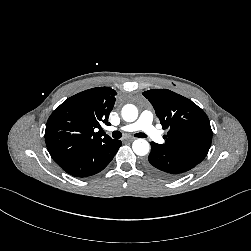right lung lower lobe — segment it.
Wrapping results in <instances>:
<instances>
[{"instance_id": "1", "label": "right lung lower lobe", "mask_w": 251, "mask_h": 251, "mask_svg": "<svg viewBox=\"0 0 251 251\" xmlns=\"http://www.w3.org/2000/svg\"><path fill=\"white\" fill-rule=\"evenodd\" d=\"M121 145L122 142L120 140H112L95 146L83 155L60 167L75 177L94 175L102 171L111 162Z\"/></svg>"}]
</instances>
